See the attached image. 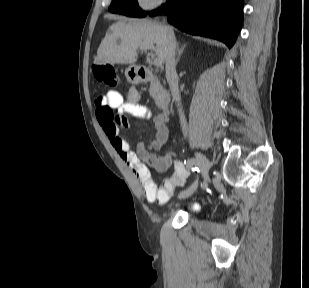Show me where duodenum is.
Instances as JSON below:
<instances>
[{
  "label": "duodenum",
  "instance_id": "duodenum-1",
  "mask_svg": "<svg viewBox=\"0 0 309 288\" xmlns=\"http://www.w3.org/2000/svg\"><path fill=\"white\" fill-rule=\"evenodd\" d=\"M140 81H148L152 78V73L147 67H140L137 71ZM157 104L162 110H167L170 104V95L166 91H162L157 95Z\"/></svg>",
  "mask_w": 309,
  "mask_h": 288
}]
</instances>
